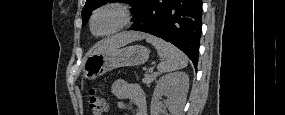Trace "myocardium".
Returning a JSON list of instances; mask_svg holds the SVG:
<instances>
[{
    "label": "myocardium",
    "mask_w": 285,
    "mask_h": 115,
    "mask_svg": "<svg viewBox=\"0 0 285 115\" xmlns=\"http://www.w3.org/2000/svg\"><path fill=\"white\" fill-rule=\"evenodd\" d=\"M104 10H111L113 11L117 17L118 22L117 24L109 31L97 33L94 30V21L98 14ZM133 20V13L129 5L123 3V2H107L100 7L96 8L92 14L90 15L89 19V27L92 34L99 36V37H106L113 34H116L122 30H124L126 27H128Z\"/></svg>",
    "instance_id": "f54148a6"
}]
</instances>
